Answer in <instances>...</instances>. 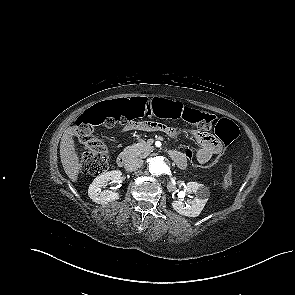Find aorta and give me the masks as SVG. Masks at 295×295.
I'll return each instance as SVG.
<instances>
[{
    "mask_svg": "<svg viewBox=\"0 0 295 295\" xmlns=\"http://www.w3.org/2000/svg\"><path fill=\"white\" fill-rule=\"evenodd\" d=\"M169 170V166L162 156L153 157L149 162V171L152 175H163Z\"/></svg>",
    "mask_w": 295,
    "mask_h": 295,
    "instance_id": "obj_1",
    "label": "aorta"
}]
</instances>
